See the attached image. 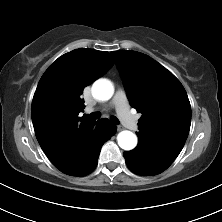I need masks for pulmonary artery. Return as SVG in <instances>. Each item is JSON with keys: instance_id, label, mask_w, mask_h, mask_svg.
I'll return each instance as SVG.
<instances>
[{"instance_id": "1", "label": "pulmonary artery", "mask_w": 222, "mask_h": 222, "mask_svg": "<svg viewBox=\"0 0 222 222\" xmlns=\"http://www.w3.org/2000/svg\"><path fill=\"white\" fill-rule=\"evenodd\" d=\"M110 108H115L119 118L123 124L129 129H137L138 124L136 118L130 113L129 105L127 103L126 94L123 89L118 88L115 92L113 99L109 104ZM95 108H86L87 113H91Z\"/></svg>"}]
</instances>
